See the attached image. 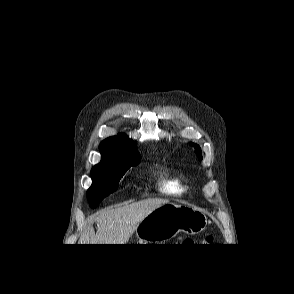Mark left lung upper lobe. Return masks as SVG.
<instances>
[{
  "label": "left lung upper lobe",
  "mask_w": 294,
  "mask_h": 294,
  "mask_svg": "<svg viewBox=\"0 0 294 294\" xmlns=\"http://www.w3.org/2000/svg\"><path fill=\"white\" fill-rule=\"evenodd\" d=\"M191 145L194 146V148H195V152L197 153L198 157H199L200 159H202V156H201V149H200V147H199L197 144H194V143H191Z\"/></svg>",
  "instance_id": "obj_1"
}]
</instances>
